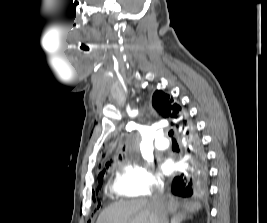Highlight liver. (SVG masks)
<instances>
[{"mask_svg": "<svg viewBox=\"0 0 267 223\" xmlns=\"http://www.w3.org/2000/svg\"><path fill=\"white\" fill-rule=\"evenodd\" d=\"M167 211L177 215L178 209L182 212L195 213L201 209L199 202H179L171 196L166 198ZM180 213V212H179ZM159 212L152 200L136 199L114 203L104 209L96 223H158Z\"/></svg>", "mask_w": 267, "mask_h": 223, "instance_id": "obj_1", "label": "liver"}]
</instances>
